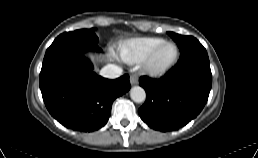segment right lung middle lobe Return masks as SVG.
Returning a JSON list of instances; mask_svg holds the SVG:
<instances>
[{
  "mask_svg": "<svg viewBox=\"0 0 258 158\" xmlns=\"http://www.w3.org/2000/svg\"><path fill=\"white\" fill-rule=\"evenodd\" d=\"M78 42L96 45L98 37L94 33V29H80L73 32H65L59 35L52 44Z\"/></svg>",
  "mask_w": 258,
  "mask_h": 158,
  "instance_id": "right-lung-middle-lobe-1",
  "label": "right lung middle lobe"
}]
</instances>
